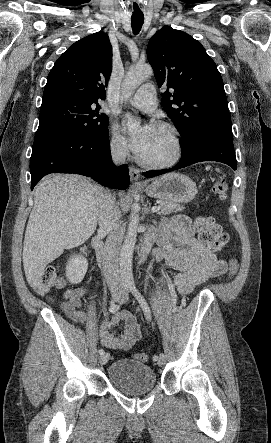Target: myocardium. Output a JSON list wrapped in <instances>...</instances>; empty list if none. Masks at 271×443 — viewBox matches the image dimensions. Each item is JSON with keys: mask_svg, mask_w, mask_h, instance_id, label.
I'll list each match as a JSON object with an SVG mask.
<instances>
[{"mask_svg": "<svg viewBox=\"0 0 271 443\" xmlns=\"http://www.w3.org/2000/svg\"><path fill=\"white\" fill-rule=\"evenodd\" d=\"M154 126H157L162 129H166L170 132L172 139H173V143H174L173 154L169 158L164 159V160H149V159H146L143 156H141L140 157L141 162L143 165H145L149 168H154V169H164V168L171 167V166L175 165L176 163H178L183 155V142H182L181 134H180L179 130L177 129V127L169 122L156 121L154 123Z\"/></svg>", "mask_w": 271, "mask_h": 443, "instance_id": "f54148a6", "label": "myocardium"}]
</instances>
